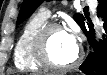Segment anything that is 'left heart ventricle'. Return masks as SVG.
I'll list each match as a JSON object with an SVG mask.
<instances>
[{
    "label": "left heart ventricle",
    "instance_id": "left-heart-ventricle-1",
    "mask_svg": "<svg viewBox=\"0 0 107 75\" xmlns=\"http://www.w3.org/2000/svg\"><path fill=\"white\" fill-rule=\"evenodd\" d=\"M50 57L57 64L70 63L77 52V48L68 40L63 30H54L48 38Z\"/></svg>",
    "mask_w": 107,
    "mask_h": 75
}]
</instances>
